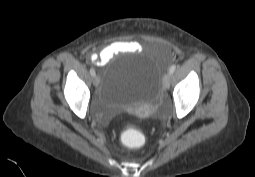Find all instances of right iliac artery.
I'll return each instance as SVG.
<instances>
[{"label":"right iliac artery","instance_id":"1","mask_svg":"<svg viewBox=\"0 0 255 177\" xmlns=\"http://www.w3.org/2000/svg\"><path fill=\"white\" fill-rule=\"evenodd\" d=\"M90 74H91L92 76H95V70H94L93 68L90 69Z\"/></svg>","mask_w":255,"mask_h":177}]
</instances>
